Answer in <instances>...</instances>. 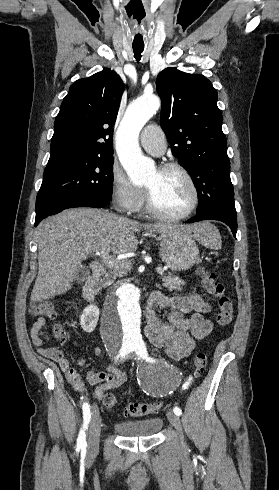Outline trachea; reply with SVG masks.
<instances>
[{
    "label": "trachea",
    "instance_id": "3493384b",
    "mask_svg": "<svg viewBox=\"0 0 279 490\" xmlns=\"http://www.w3.org/2000/svg\"><path fill=\"white\" fill-rule=\"evenodd\" d=\"M143 50H144V47L133 46L134 56L137 60H140Z\"/></svg>",
    "mask_w": 279,
    "mask_h": 490
}]
</instances>
